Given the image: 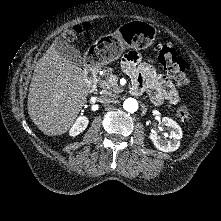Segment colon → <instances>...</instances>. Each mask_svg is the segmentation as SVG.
I'll return each mask as SVG.
<instances>
[{"label": "colon", "instance_id": "5ec220e1", "mask_svg": "<svg viewBox=\"0 0 221 221\" xmlns=\"http://www.w3.org/2000/svg\"><path fill=\"white\" fill-rule=\"evenodd\" d=\"M86 25H78L73 30L65 34V38L70 40L76 33L86 31ZM156 53L158 62L168 72V74L175 80L176 83L184 85L187 83L186 67L183 59L178 52L167 43H158L156 45ZM178 117L183 121H189L191 118V108L188 106H181L177 111Z\"/></svg>", "mask_w": 221, "mask_h": 221}]
</instances>
